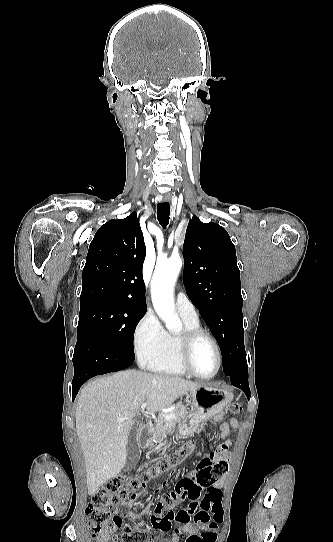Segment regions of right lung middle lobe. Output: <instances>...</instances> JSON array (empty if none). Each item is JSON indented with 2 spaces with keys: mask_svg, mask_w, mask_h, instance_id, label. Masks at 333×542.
Returning <instances> with one entry per match:
<instances>
[{
  "mask_svg": "<svg viewBox=\"0 0 333 542\" xmlns=\"http://www.w3.org/2000/svg\"><path fill=\"white\" fill-rule=\"evenodd\" d=\"M145 313V308L103 301L80 305L78 336L84 331L97 332L120 352L135 357L134 332Z\"/></svg>",
  "mask_w": 333,
  "mask_h": 542,
  "instance_id": "1",
  "label": "right lung middle lobe"
}]
</instances>
